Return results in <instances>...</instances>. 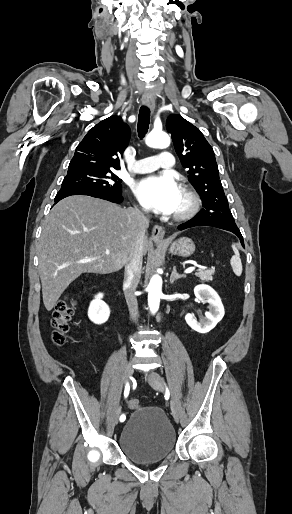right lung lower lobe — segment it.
Returning <instances> with one entry per match:
<instances>
[{
	"label": "right lung lower lobe",
	"instance_id": "obj_1",
	"mask_svg": "<svg viewBox=\"0 0 292 514\" xmlns=\"http://www.w3.org/2000/svg\"><path fill=\"white\" fill-rule=\"evenodd\" d=\"M72 195H88L96 198L105 199L114 203H121L123 201L122 191L119 192H103V191H93V190H84V189H71L59 191L55 197V203L59 202L61 199L72 196Z\"/></svg>",
	"mask_w": 292,
	"mask_h": 514
}]
</instances>
